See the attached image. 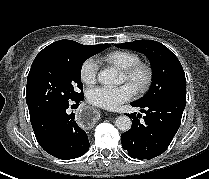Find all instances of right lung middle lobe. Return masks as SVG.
<instances>
[{"label": "right lung middle lobe", "mask_w": 209, "mask_h": 179, "mask_svg": "<svg viewBox=\"0 0 209 179\" xmlns=\"http://www.w3.org/2000/svg\"><path fill=\"white\" fill-rule=\"evenodd\" d=\"M110 44H101L70 53L37 55L27 78L26 102L30 120L48 109L82 97L76 87L83 89L82 64Z\"/></svg>", "instance_id": "right-lung-middle-lobe-1"}]
</instances>
